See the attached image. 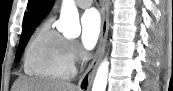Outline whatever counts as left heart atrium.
<instances>
[{
    "label": "left heart atrium",
    "mask_w": 173,
    "mask_h": 91,
    "mask_svg": "<svg viewBox=\"0 0 173 91\" xmlns=\"http://www.w3.org/2000/svg\"><path fill=\"white\" fill-rule=\"evenodd\" d=\"M101 19L94 9L87 10L81 17V45L84 49H92L100 36Z\"/></svg>",
    "instance_id": "39dd6f15"
}]
</instances>
